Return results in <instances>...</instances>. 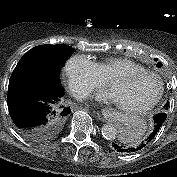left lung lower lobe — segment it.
<instances>
[{"label":"left lung lower lobe","mask_w":177,"mask_h":177,"mask_svg":"<svg viewBox=\"0 0 177 177\" xmlns=\"http://www.w3.org/2000/svg\"><path fill=\"white\" fill-rule=\"evenodd\" d=\"M166 117H167V115L165 112H161L159 114L154 115V117H153L154 118L153 131L149 135V137H147L139 145L130 146V145H122L117 142H114V143H112L113 149L116 150L117 152H121V153H132V152H136V151L141 150L142 148H144L146 145H148L154 139V137L157 135L160 128L162 127V124L164 123Z\"/></svg>","instance_id":"1"}]
</instances>
